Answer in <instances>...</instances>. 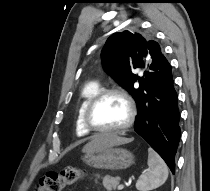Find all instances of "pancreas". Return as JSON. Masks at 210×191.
Returning <instances> with one entry per match:
<instances>
[{
	"label": "pancreas",
	"mask_w": 210,
	"mask_h": 191,
	"mask_svg": "<svg viewBox=\"0 0 210 191\" xmlns=\"http://www.w3.org/2000/svg\"><path fill=\"white\" fill-rule=\"evenodd\" d=\"M120 182L119 177H111L109 175H106L103 178V186L107 191L115 190Z\"/></svg>",
	"instance_id": "1"
}]
</instances>
